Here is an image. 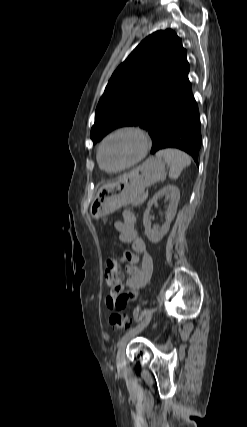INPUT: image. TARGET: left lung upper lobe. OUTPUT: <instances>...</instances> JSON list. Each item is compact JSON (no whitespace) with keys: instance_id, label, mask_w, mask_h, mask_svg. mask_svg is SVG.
Here are the masks:
<instances>
[{"instance_id":"1","label":"left lung upper lobe","mask_w":247,"mask_h":427,"mask_svg":"<svg viewBox=\"0 0 247 427\" xmlns=\"http://www.w3.org/2000/svg\"><path fill=\"white\" fill-rule=\"evenodd\" d=\"M181 39L171 29L146 37L111 76L95 111L93 143L121 126L149 128L160 109L190 85Z\"/></svg>"}]
</instances>
